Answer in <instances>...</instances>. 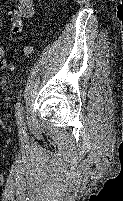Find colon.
Segmentation results:
<instances>
[{
  "label": "colon",
  "mask_w": 123,
  "mask_h": 201,
  "mask_svg": "<svg viewBox=\"0 0 123 201\" xmlns=\"http://www.w3.org/2000/svg\"><path fill=\"white\" fill-rule=\"evenodd\" d=\"M15 53L17 52H21L25 55H30L33 52V47L32 46H25L24 48H22L21 50H14ZM4 54H5V50L2 46H0V69H7L9 68L7 62L4 60Z\"/></svg>",
  "instance_id": "obj_1"
}]
</instances>
